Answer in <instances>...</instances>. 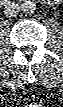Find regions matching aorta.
<instances>
[{
	"label": "aorta",
	"instance_id": "1",
	"mask_svg": "<svg viewBox=\"0 0 63 107\" xmlns=\"http://www.w3.org/2000/svg\"><path fill=\"white\" fill-rule=\"evenodd\" d=\"M21 10L24 14H33L36 10V4L32 0H26L21 4Z\"/></svg>",
	"mask_w": 63,
	"mask_h": 107
}]
</instances>
